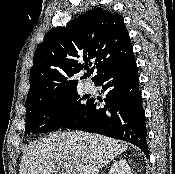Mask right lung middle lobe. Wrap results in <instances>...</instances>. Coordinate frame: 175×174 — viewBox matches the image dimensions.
<instances>
[{"instance_id":"1","label":"right lung middle lobe","mask_w":175,"mask_h":174,"mask_svg":"<svg viewBox=\"0 0 175 174\" xmlns=\"http://www.w3.org/2000/svg\"><path fill=\"white\" fill-rule=\"evenodd\" d=\"M76 88L54 93L26 105L25 132L46 133L64 128L77 118L87 102H83Z\"/></svg>"}]
</instances>
